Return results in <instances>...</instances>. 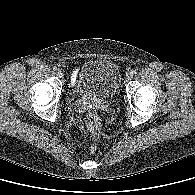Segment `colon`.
<instances>
[{"instance_id":"obj_1","label":"colon","mask_w":195,"mask_h":195,"mask_svg":"<svg viewBox=\"0 0 195 195\" xmlns=\"http://www.w3.org/2000/svg\"><path fill=\"white\" fill-rule=\"evenodd\" d=\"M87 127L90 132L98 137L100 130H101V121L100 117L94 110H90L86 117Z\"/></svg>"}]
</instances>
